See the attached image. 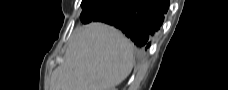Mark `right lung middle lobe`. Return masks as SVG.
Listing matches in <instances>:
<instances>
[{
	"instance_id": "dd1d6c3e",
	"label": "right lung middle lobe",
	"mask_w": 228,
	"mask_h": 90,
	"mask_svg": "<svg viewBox=\"0 0 228 90\" xmlns=\"http://www.w3.org/2000/svg\"><path fill=\"white\" fill-rule=\"evenodd\" d=\"M97 2H98V0H82L81 7L84 9L88 5H90L92 3H97Z\"/></svg>"
}]
</instances>
